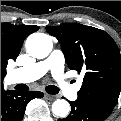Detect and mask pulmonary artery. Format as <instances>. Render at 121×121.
<instances>
[{
	"instance_id": "e3ab8cb5",
	"label": "pulmonary artery",
	"mask_w": 121,
	"mask_h": 121,
	"mask_svg": "<svg viewBox=\"0 0 121 121\" xmlns=\"http://www.w3.org/2000/svg\"><path fill=\"white\" fill-rule=\"evenodd\" d=\"M63 67V53L60 50H55L47 59L16 69L10 73L9 77L13 82H32L50 72L59 91L67 94L70 99H75L80 86H70L68 80L64 77Z\"/></svg>"
}]
</instances>
